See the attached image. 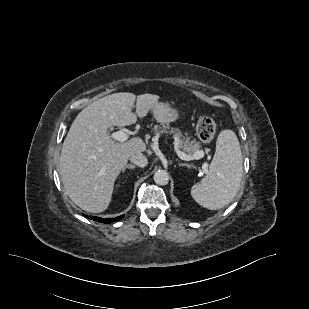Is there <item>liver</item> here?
Wrapping results in <instances>:
<instances>
[{
  "label": "liver",
  "mask_w": 309,
  "mask_h": 309,
  "mask_svg": "<svg viewBox=\"0 0 309 309\" xmlns=\"http://www.w3.org/2000/svg\"><path fill=\"white\" fill-rule=\"evenodd\" d=\"M158 95L120 92L85 107L75 118L63 142L59 172L69 198L81 209L100 213L111 201L114 182L131 155L146 150L140 137L116 142L112 126H129L158 103ZM136 100V114L132 107Z\"/></svg>",
  "instance_id": "6515ba94"
}]
</instances>
